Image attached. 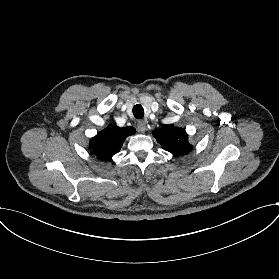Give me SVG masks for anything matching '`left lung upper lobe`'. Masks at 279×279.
<instances>
[{
  "instance_id": "left-lung-upper-lobe-1",
  "label": "left lung upper lobe",
  "mask_w": 279,
  "mask_h": 279,
  "mask_svg": "<svg viewBox=\"0 0 279 279\" xmlns=\"http://www.w3.org/2000/svg\"><path fill=\"white\" fill-rule=\"evenodd\" d=\"M154 137L162 148L173 155H183L191 151L188 135L182 128L173 125H163L161 129L153 132Z\"/></svg>"
}]
</instances>
